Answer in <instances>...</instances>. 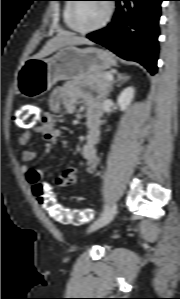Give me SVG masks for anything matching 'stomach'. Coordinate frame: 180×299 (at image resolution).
<instances>
[{"mask_svg":"<svg viewBox=\"0 0 180 299\" xmlns=\"http://www.w3.org/2000/svg\"><path fill=\"white\" fill-rule=\"evenodd\" d=\"M116 64L113 55L103 49L64 47L50 58H30L18 70L17 87L26 98L47 93L60 80L81 79L104 72Z\"/></svg>","mask_w":180,"mask_h":299,"instance_id":"0dacf381","label":"stomach"}]
</instances>
